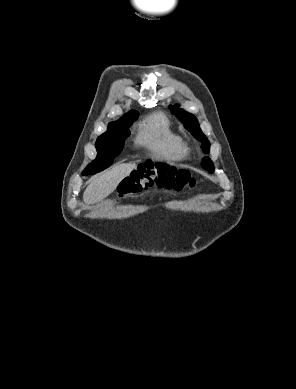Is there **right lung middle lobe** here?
I'll return each mask as SVG.
<instances>
[{
  "label": "right lung middle lobe",
  "mask_w": 296,
  "mask_h": 389,
  "mask_svg": "<svg viewBox=\"0 0 296 389\" xmlns=\"http://www.w3.org/2000/svg\"><path fill=\"white\" fill-rule=\"evenodd\" d=\"M138 117V112H132L118 121L111 122L108 130L96 141L97 157L86 169L100 172L109 167L113 159L122 151L125 139L130 135L128 127Z\"/></svg>",
  "instance_id": "right-lung-middle-lobe-1"
}]
</instances>
